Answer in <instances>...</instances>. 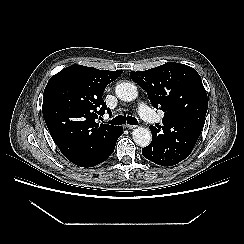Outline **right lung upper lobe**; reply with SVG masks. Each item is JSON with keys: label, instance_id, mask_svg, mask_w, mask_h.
I'll use <instances>...</instances> for the list:
<instances>
[{"label": "right lung upper lobe", "instance_id": "right-lung-upper-lobe-1", "mask_svg": "<svg viewBox=\"0 0 244 244\" xmlns=\"http://www.w3.org/2000/svg\"><path fill=\"white\" fill-rule=\"evenodd\" d=\"M122 70L108 71L82 65L64 68L48 81L43 98V117L61 153L71 162L93 158L107 147L119 126L98 124L107 105L106 86Z\"/></svg>", "mask_w": 244, "mask_h": 244}]
</instances>
